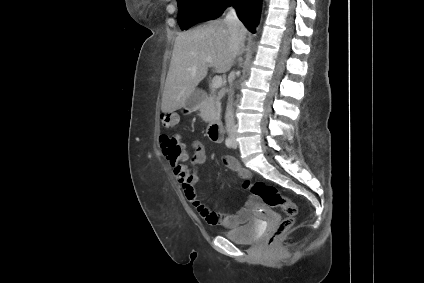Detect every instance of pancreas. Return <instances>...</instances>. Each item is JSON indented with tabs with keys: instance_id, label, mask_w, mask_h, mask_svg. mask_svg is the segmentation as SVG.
<instances>
[{
	"instance_id": "1",
	"label": "pancreas",
	"mask_w": 424,
	"mask_h": 283,
	"mask_svg": "<svg viewBox=\"0 0 424 283\" xmlns=\"http://www.w3.org/2000/svg\"><path fill=\"white\" fill-rule=\"evenodd\" d=\"M220 95L212 93L203 103L200 105L199 116L206 122L211 121L221 113V102Z\"/></svg>"
}]
</instances>
